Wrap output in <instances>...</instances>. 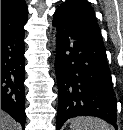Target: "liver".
I'll list each match as a JSON object with an SVG mask.
<instances>
[{
	"label": "liver",
	"mask_w": 123,
	"mask_h": 130,
	"mask_svg": "<svg viewBox=\"0 0 123 130\" xmlns=\"http://www.w3.org/2000/svg\"><path fill=\"white\" fill-rule=\"evenodd\" d=\"M18 123L7 113L1 110V130H18Z\"/></svg>",
	"instance_id": "6515ba94"
}]
</instances>
